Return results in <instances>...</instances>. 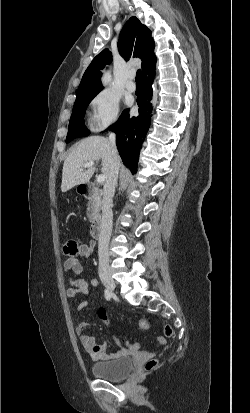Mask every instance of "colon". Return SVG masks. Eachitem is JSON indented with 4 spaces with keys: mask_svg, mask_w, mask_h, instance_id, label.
Segmentation results:
<instances>
[{
    "mask_svg": "<svg viewBox=\"0 0 250 413\" xmlns=\"http://www.w3.org/2000/svg\"><path fill=\"white\" fill-rule=\"evenodd\" d=\"M79 251V244L75 239H68L64 246H63V252L67 256H76ZM99 317L100 319L104 322V324H109V317L105 311V309H100L99 310ZM150 323L148 320L142 319L138 322V328L142 331H145L149 328ZM165 336L168 338L173 337L174 331L170 326H165L164 329ZM158 343L160 344H165L166 340L163 337H158L157 338ZM121 342H124L126 344V348L130 349V352L133 355H136L139 350L146 348V343L141 342V341H134V340H129V342H126V337H121ZM158 366V361L154 358L149 359L146 361L144 365V372H150L154 370Z\"/></svg>",
    "mask_w": 250,
    "mask_h": 413,
    "instance_id": "5ec220e1",
    "label": "colon"
}]
</instances>
